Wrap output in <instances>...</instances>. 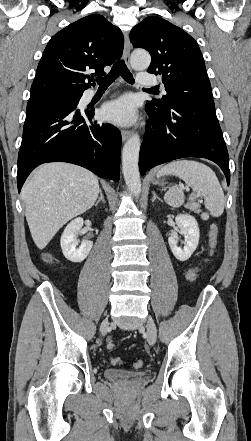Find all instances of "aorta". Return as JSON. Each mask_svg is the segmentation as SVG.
I'll return each instance as SVG.
<instances>
[{
	"mask_svg": "<svg viewBox=\"0 0 251 441\" xmlns=\"http://www.w3.org/2000/svg\"><path fill=\"white\" fill-rule=\"evenodd\" d=\"M151 57L148 52L137 50L131 56V65L136 70H145L149 67ZM141 140L134 133L125 143L122 150V172L126 186L131 194L138 197L141 193V180L138 167Z\"/></svg>",
	"mask_w": 251,
	"mask_h": 441,
	"instance_id": "aorta-1",
	"label": "aorta"
}]
</instances>
